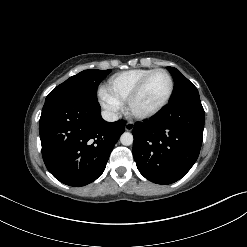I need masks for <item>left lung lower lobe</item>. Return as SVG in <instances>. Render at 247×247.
I'll list each match as a JSON object with an SVG mask.
<instances>
[{
	"mask_svg": "<svg viewBox=\"0 0 247 247\" xmlns=\"http://www.w3.org/2000/svg\"><path fill=\"white\" fill-rule=\"evenodd\" d=\"M205 112L200 97L170 103L155 118L133 128V157L140 173L157 184L181 179L196 162Z\"/></svg>",
	"mask_w": 247,
	"mask_h": 247,
	"instance_id": "left-lung-lower-lobe-1",
	"label": "left lung lower lobe"
}]
</instances>
